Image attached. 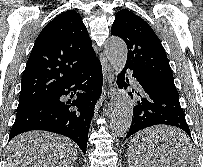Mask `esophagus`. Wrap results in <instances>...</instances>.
<instances>
[{
	"mask_svg": "<svg viewBox=\"0 0 203 167\" xmlns=\"http://www.w3.org/2000/svg\"><path fill=\"white\" fill-rule=\"evenodd\" d=\"M114 80H115L114 74L110 73V75L108 76V81L109 83H111V90L110 93L108 94V97H113L115 95Z\"/></svg>",
	"mask_w": 203,
	"mask_h": 167,
	"instance_id": "esophagus-1",
	"label": "esophagus"
}]
</instances>
